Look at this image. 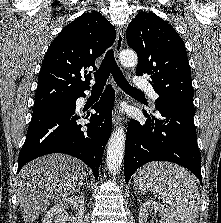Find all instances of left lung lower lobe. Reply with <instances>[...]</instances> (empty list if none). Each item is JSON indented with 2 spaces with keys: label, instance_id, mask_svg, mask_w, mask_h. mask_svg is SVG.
<instances>
[{
  "label": "left lung lower lobe",
  "instance_id": "0a47b994",
  "mask_svg": "<svg viewBox=\"0 0 221 223\" xmlns=\"http://www.w3.org/2000/svg\"><path fill=\"white\" fill-rule=\"evenodd\" d=\"M160 118L144 110L145 123L131 120L128 125L124 157L126 183L142 165L169 161L191 172L202 183L201 154L194 125L195 111L178 105L157 107Z\"/></svg>",
  "mask_w": 221,
  "mask_h": 223
}]
</instances>
